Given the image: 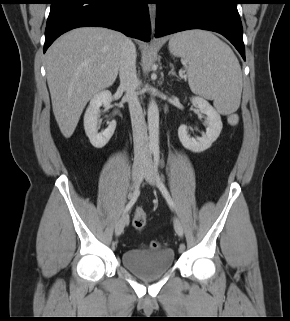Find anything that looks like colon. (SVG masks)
<instances>
[{
  "mask_svg": "<svg viewBox=\"0 0 290 321\" xmlns=\"http://www.w3.org/2000/svg\"><path fill=\"white\" fill-rule=\"evenodd\" d=\"M147 222L146 213L142 209H137L132 216V226L135 230L141 231L145 228ZM151 248L158 249L160 244L158 242H152Z\"/></svg>",
  "mask_w": 290,
  "mask_h": 321,
  "instance_id": "obj_1",
  "label": "colon"
}]
</instances>
